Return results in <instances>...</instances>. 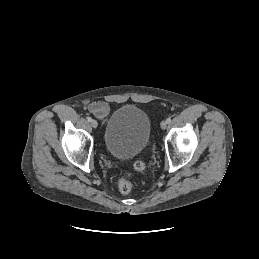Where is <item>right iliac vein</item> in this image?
Masks as SVG:
<instances>
[{"label":"right iliac vein","instance_id":"obj_1","mask_svg":"<svg viewBox=\"0 0 259 259\" xmlns=\"http://www.w3.org/2000/svg\"><path fill=\"white\" fill-rule=\"evenodd\" d=\"M91 125H92L93 128H97L98 123H97L96 120H92V121H91Z\"/></svg>","mask_w":259,"mask_h":259}]
</instances>
